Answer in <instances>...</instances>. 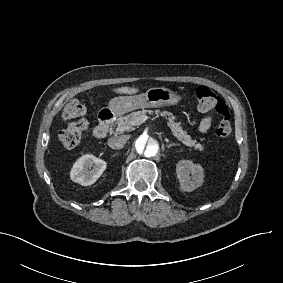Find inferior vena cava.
Here are the masks:
<instances>
[{
    "mask_svg": "<svg viewBox=\"0 0 283 283\" xmlns=\"http://www.w3.org/2000/svg\"><path fill=\"white\" fill-rule=\"evenodd\" d=\"M126 140L124 137H113L108 140V145L112 149H121L125 146Z\"/></svg>",
    "mask_w": 283,
    "mask_h": 283,
    "instance_id": "1",
    "label": "inferior vena cava"
}]
</instances>
